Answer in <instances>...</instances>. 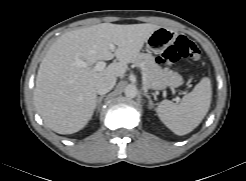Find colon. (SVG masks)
Returning <instances> with one entry per match:
<instances>
[{
	"label": "colon",
	"instance_id": "1",
	"mask_svg": "<svg viewBox=\"0 0 246 181\" xmlns=\"http://www.w3.org/2000/svg\"><path fill=\"white\" fill-rule=\"evenodd\" d=\"M183 58L197 61L200 59V52L192 41L184 36H179L173 45L163 52L160 62L174 65Z\"/></svg>",
	"mask_w": 246,
	"mask_h": 181
}]
</instances>
